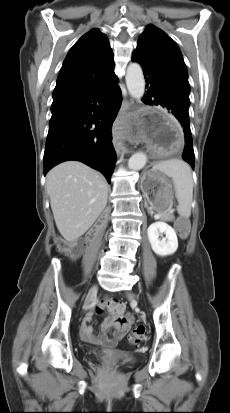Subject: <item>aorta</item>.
<instances>
[{
  "label": "aorta",
  "instance_id": "762f6f07",
  "mask_svg": "<svg viewBox=\"0 0 230 413\" xmlns=\"http://www.w3.org/2000/svg\"><path fill=\"white\" fill-rule=\"evenodd\" d=\"M126 85L129 94L136 100H141L145 92V80L141 66L130 63L126 71ZM147 162V156L142 152L133 154L128 160V168L133 171L141 170Z\"/></svg>",
  "mask_w": 230,
  "mask_h": 413
}]
</instances>
